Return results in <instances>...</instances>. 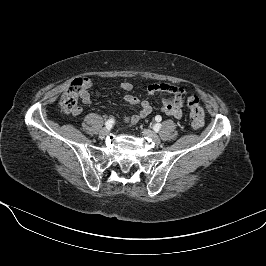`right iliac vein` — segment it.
<instances>
[{"label":"right iliac vein","instance_id":"right-iliac-vein-1","mask_svg":"<svg viewBox=\"0 0 266 266\" xmlns=\"http://www.w3.org/2000/svg\"><path fill=\"white\" fill-rule=\"evenodd\" d=\"M108 133H109V129L108 128H103L100 131V133H99V137L103 139V138H105L108 135Z\"/></svg>","mask_w":266,"mask_h":266}]
</instances>
